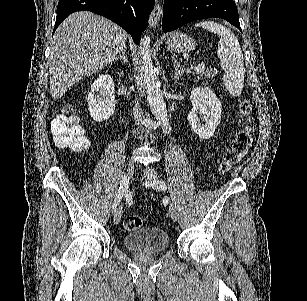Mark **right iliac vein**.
<instances>
[{
  "label": "right iliac vein",
  "mask_w": 307,
  "mask_h": 301,
  "mask_svg": "<svg viewBox=\"0 0 307 301\" xmlns=\"http://www.w3.org/2000/svg\"><path fill=\"white\" fill-rule=\"evenodd\" d=\"M133 173H134V162L130 161L127 166V172L121 177L120 190H122V187H124V193H127V189H128L131 177L133 176ZM121 217H122V209L119 207L116 209L114 213V217H113L114 223L118 224L121 220Z\"/></svg>",
  "instance_id": "63e3f726"
}]
</instances>
